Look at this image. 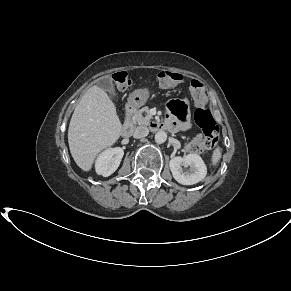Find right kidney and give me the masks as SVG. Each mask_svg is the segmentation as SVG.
Returning a JSON list of instances; mask_svg holds the SVG:
<instances>
[{
    "label": "right kidney",
    "instance_id": "1",
    "mask_svg": "<svg viewBox=\"0 0 291 291\" xmlns=\"http://www.w3.org/2000/svg\"><path fill=\"white\" fill-rule=\"evenodd\" d=\"M124 151L122 148H110L102 152L96 159L95 169L97 174L108 177L113 174L120 165Z\"/></svg>",
    "mask_w": 291,
    "mask_h": 291
}]
</instances>
